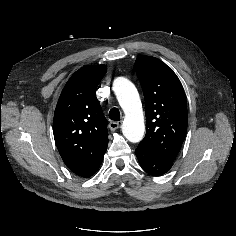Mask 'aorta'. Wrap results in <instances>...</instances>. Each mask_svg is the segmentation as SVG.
<instances>
[{
  "mask_svg": "<svg viewBox=\"0 0 236 236\" xmlns=\"http://www.w3.org/2000/svg\"><path fill=\"white\" fill-rule=\"evenodd\" d=\"M118 102L125 113L122 132L127 140L137 143L145 132L144 116L136 87L127 79L119 77L114 81Z\"/></svg>",
  "mask_w": 236,
  "mask_h": 236,
  "instance_id": "obj_1",
  "label": "aorta"
}]
</instances>
